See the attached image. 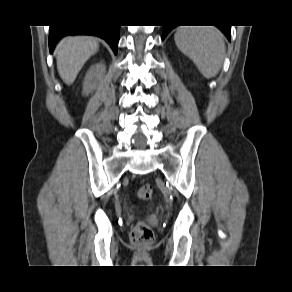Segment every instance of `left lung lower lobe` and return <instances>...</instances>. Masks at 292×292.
Returning a JSON list of instances; mask_svg holds the SVG:
<instances>
[{
    "label": "left lung lower lobe",
    "instance_id": "0a47b994",
    "mask_svg": "<svg viewBox=\"0 0 292 292\" xmlns=\"http://www.w3.org/2000/svg\"><path fill=\"white\" fill-rule=\"evenodd\" d=\"M162 40L167 36V34L176 26H162ZM219 29L226 35V37L230 40V26H217Z\"/></svg>",
    "mask_w": 292,
    "mask_h": 292
}]
</instances>
